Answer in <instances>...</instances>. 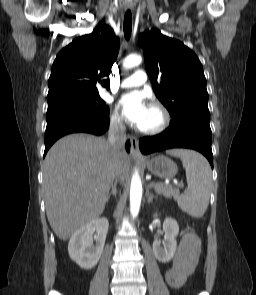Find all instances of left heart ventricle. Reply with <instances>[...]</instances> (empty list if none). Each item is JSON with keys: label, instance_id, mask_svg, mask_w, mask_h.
Listing matches in <instances>:
<instances>
[{"label": "left heart ventricle", "instance_id": "obj_1", "mask_svg": "<svg viewBox=\"0 0 256 295\" xmlns=\"http://www.w3.org/2000/svg\"><path fill=\"white\" fill-rule=\"evenodd\" d=\"M159 121V116L155 110L152 108L149 109L148 115L146 116L145 120L143 121L140 127L142 128H149L156 125Z\"/></svg>", "mask_w": 256, "mask_h": 295}]
</instances>
